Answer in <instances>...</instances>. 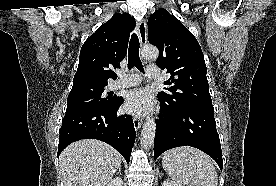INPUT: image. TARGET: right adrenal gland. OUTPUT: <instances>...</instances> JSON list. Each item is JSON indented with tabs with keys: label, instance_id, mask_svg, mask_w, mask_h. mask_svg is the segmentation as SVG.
I'll use <instances>...</instances> for the list:
<instances>
[{
	"label": "right adrenal gland",
	"instance_id": "obj_1",
	"mask_svg": "<svg viewBox=\"0 0 276 186\" xmlns=\"http://www.w3.org/2000/svg\"><path fill=\"white\" fill-rule=\"evenodd\" d=\"M117 174H120V175L122 174L121 173V166L119 167Z\"/></svg>",
	"mask_w": 276,
	"mask_h": 186
}]
</instances>
